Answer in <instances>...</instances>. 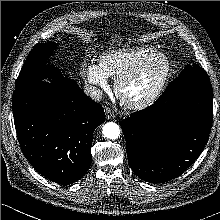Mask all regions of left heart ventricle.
<instances>
[{"mask_svg":"<svg viewBox=\"0 0 220 220\" xmlns=\"http://www.w3.org/2000/svg\"><path fill=\"white\" fill-rule=\"evenodd\" d=\"M164 68L162 59L151 60L143 72L131 80L124 87V96L130 100H136L145 96L153 87Z\"/></svg>","mask_w":220,"mask_h":220,"instance_id":"1","label":"left heart ventricle"}]
</instances>
